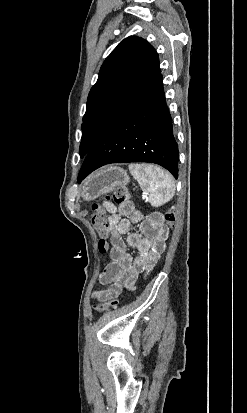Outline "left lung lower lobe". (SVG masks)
Segmentation results:
<instances>
[{
	"mask_svg": "<svg viewBox=\"0 0 247 413\" xmlns=\"http://www.w3.org/2000/svg\"><path fill=\"white\" fill-rule=\"evenodd\" d=\"M124 162L155 163L178 177V145L161 71L87 153L78 182L103 165Z\"/></svg>",
	"mask_w": 247,
	"mask_h": 413,
	"instance_id": "left-lung-lower-lobe-1",
	"label": "left lung lower lobe"
}]
</instances>
